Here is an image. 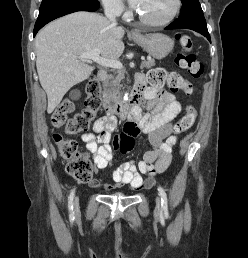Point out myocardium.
I'll return each instance as SVG.
<instances>
[{"label":"myocardium","mask_w":248,"mask_h":258,"mask_svg":"<svg viewBox=\"0 0 248 258\" xmlns=\"http://www.w3.org/2000/svg\"><path fill=\"white\" fill-rule=\"evenodd\" d=\"M181 6H182V1L181 0H175V8H174L173 12L164 20L152 21V20H149V19L145 18L140 13L137 14V17H138L139 21L142 22L146 26H149V27H163V26H166V25L170 24L177 17V15L180 12Z\"/></svg>","instance_id":"f54148a6"}]
</instances>
